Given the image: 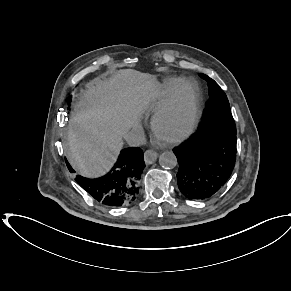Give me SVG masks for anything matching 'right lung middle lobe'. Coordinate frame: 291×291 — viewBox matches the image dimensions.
I'll return each mask as SVG.
<instances>
[{
	"instance_id": "right-lung-middle-lobe-1",
	"label": "right lung middle lobe",
	"mask_w": 291,
	"mask_h": 291,
	"mask_svg": "<svg viewBox=\"0 0 291 291\" xmlns=\"http://www.w3.org/2000/svg\"><path fill=\"white\" fill-rule=\"evenodd\" d=\"M71 100V96L68 98V101H70Z\"/></svg>"
}]
</instances>
